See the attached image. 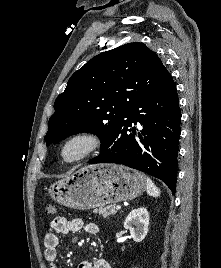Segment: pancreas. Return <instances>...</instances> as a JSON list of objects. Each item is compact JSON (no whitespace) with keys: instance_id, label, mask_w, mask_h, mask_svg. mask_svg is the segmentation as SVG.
<instances>
[{"instance_id":"1","label":"pancreas","mask_w":221,"mask_h":268,"mask_svg":"<svg viewBox=\"0 0 221 268\" xmlns=\"http://www.w3.org/2000/svg\"><path fill=\"white\" fill-rule=\"evenodd\" d=\"M94 213H99L103 218H107L117 213L115 205H108L105 207H99V209H94Z\"/></svg>"}]
</instances>
